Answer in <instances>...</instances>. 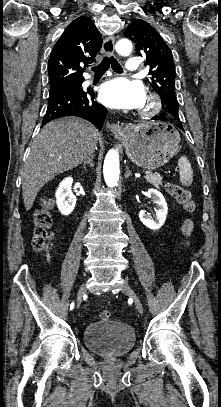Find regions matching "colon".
<instances>
[{"mask_svg":"<svg viewBox=\"0 0 221 407\" xmlns=\"http://www.w3.org/2000/svg\"><path fill=\"white\" fill-rule=\"evenodd\" d=\"M166 192L173 197L189 214L195 211V202L193 201L190 192L181 187L180 185L167 182L165 184ZM53 205L52 199L43 200L41 207L35 214V228L33 246L36 251L43 252L51 248V241L53 239V233L50 231L52 224V217L50 209ZM182 237L183 241L187 242L194 232L192 220L188 217L182 223ZM111 317L109 310H102L99 313L101 320H108Z\"/></svg>","mask_w":221,"mask_h":407,"instance_id":"colon-1","label":"colon"}]
</instances>
